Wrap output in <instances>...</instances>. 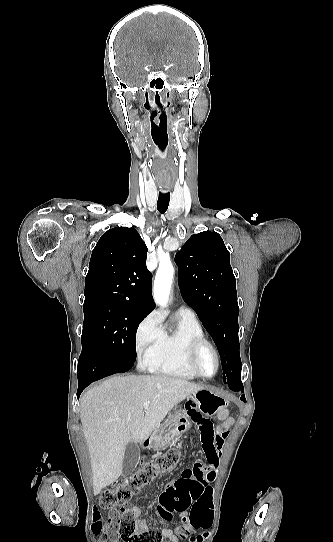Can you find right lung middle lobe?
<instances>
[{"label":"right lung middle lobe","mask_w":333,"mask_h":542,"mask_svg":"<svg viewBox=\"0 0 333 542\" xmlns=\"http://www.w3.org/2000/svg\"><path fill=\"white\" fill-rule=\"evenodd\" d=\"M83 311L80 358L91 359L94 351H100L131 368L136 360V331L149 313L116 305H91Z\"/></svg>","instance_id":"1"}]
</instances>
